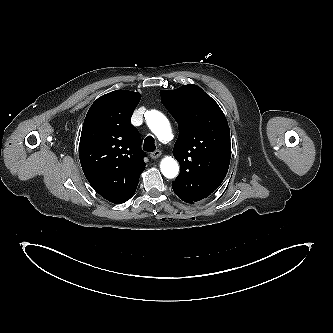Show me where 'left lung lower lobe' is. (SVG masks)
Segmentation results:
<instances>
[{"instance_id": "1", "label": "left lung lower lobe", "mask_w": 333, "mask_h": 333, "mask_svg": "<svg viewBox=\"0 0 333 333\" xmlns=\"http://www.w3.org/2000/svg\"><path fill=\"white\" fill-rule=\"evenodd\" d=\"M179 198H181L184 202L186 203H194L195 201L187 198V197H182V196H178Z\"/></svg>"}]
</instances>
